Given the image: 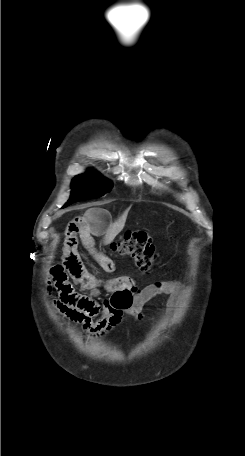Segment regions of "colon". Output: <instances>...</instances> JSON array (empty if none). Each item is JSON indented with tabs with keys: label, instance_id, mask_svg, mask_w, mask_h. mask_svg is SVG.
I'll return each mask as SVG.
<instances>
[{
	"label": "colon",
	"instance_id": "obj_1",
	"mask_svg": "<svg viewBox=\"0 0 245 456\" xmlns=\"http://www.w3.org/2000/svg\"><path fill=\"white\" fill-rule=\"evenodd\" d=\"M111 249L121 256L132 258L136 267L146 273L154 265L155 248L145 232H128L122 240L114 242Z\"/></svg>",
	"mask_w": 245,
	"mask_h": 456
}]
</instances>
